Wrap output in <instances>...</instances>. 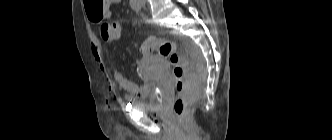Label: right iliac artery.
I'll return each mask as SVG.
<instances>
[{"mask_svg": "<svg viewBox=\"0 0 332 140\" xmlns=\"http://www.w3.org/2000/svg\"><path fill=\"white\" fill-rule=\"evenodd\" d=\"M130 6L133 10L135 11H140L141 10V3L139 0H130Z\"/></svg>", "mask_w": 332, "mask_h": 140, "instance_id": "obj_1", "label": "right iliac artery"}]
</instances>
